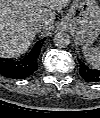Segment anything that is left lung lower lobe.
Returning a JSON list of instances; mask_svg holds the SVG:
<instances>
[{
    "label": "left lung lower lobe",
    "mask_w": 100,
    "mask_h": 118,
    "mask_svg": "<svg viewBox=\"0 0 100 118\" xmlns=\"http://www.w3.org/2000/svg\"><path fill=\"white\" fill-rule=\"evenodd\" d=\"M80 63V75L87 82H99L100 81V69H92L86 66L84 63Z\"/></svg>",
    "instance_id": "1"
}]
</instances>
